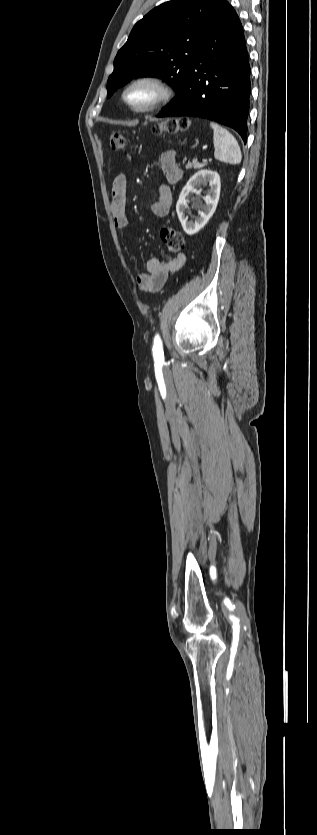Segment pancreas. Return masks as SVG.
Listing matches in <instances>:
<instances>
[{"label": "pancreas", "mask_w": 317, "mask_h": 835, "mask_svg": "<svg viewBox=\"0 0 317 835\" xmlns=\"http://www.w3.org/2000/svg\"><path fill=\"white\" fill-rule=\"evenodd\" d=\"M183 163H184V161H183ZM204 166H205V164H200L197 160H193L192 162H188L185 167H186V169H191V168L201 169Z\"/></svg>", "instance_id": "cf45deb5"}]
</instances>
